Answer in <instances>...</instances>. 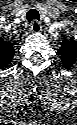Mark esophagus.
I'll return each instance as SVG.
<instances>
[{
    "label": "esophagus",
    "mask_w": 77,
    "mask_h": 125,
    "mask_svg": "<svg viewBox=\"0 0 77 125\" xmlns=\"http://www.w3.org/2000/svg\"><path fill=\"white\" fill-rule=\"evenodd\" d=\"M41 31V24L37 20L31 22V32L38 33Z\"/></svg>",
    "instance_id": "esophagus-1"
}]
</instances>
